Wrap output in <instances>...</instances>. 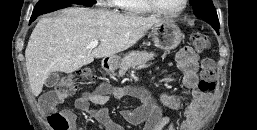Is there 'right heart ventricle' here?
<instances>
[{
  "instance_id": "right-heart-ventricle-1",
  "label": "right heart ventricle",
  "mask_w": 257,
  "mask_h": 130,
  "mask_svg": "<svg viewBox=\"0 0 257 130\" xmlns=\"http://www.w3.org/2000/svg\"><path fill=\"white\" fill-rule=\"evenodd\" d=\"M114 6L121 12L131 16H141L153 13L145 0H114Z\"/></svg>"
}]
</instances>
